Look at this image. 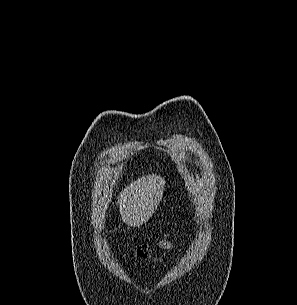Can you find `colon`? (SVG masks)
<instances>
[{
	"label": "colon",
	"instance_id": "colon-1",
	"mask_svg": "<svg viewBox=\"0 0 297 305\" xmlns=\"http://www.w3.org/2000/svg\"><path fill=\"white\" fill-rule=\"evenodd\" d=\"M143 252L147 251V245L143 244L139 247Z\"/></svg>",
	"mask_w": 297,
	"mask_h": 305
}]
</instances>
